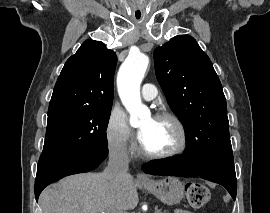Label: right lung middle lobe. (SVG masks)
Masks as SVG:
<instances>
[{"mask_svg":"<svg viewBox=\"0 0 270 213\" xmlns=\"http://www.w3.org/2000/svg\"><path fill=\"white\" fill-rule=\"evenodd\" d=\"M111 108L60 107L48 110L41 156L81 153L107 147Z\"/></svg>","mask_w":270,"mask_h":213,"instance_id":"dd1d6c3e","label":"right lung middle lobe"}]
</instances>
